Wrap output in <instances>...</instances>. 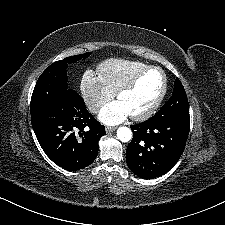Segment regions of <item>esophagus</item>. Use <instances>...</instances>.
Instances as JSON below:
<instances>
[{
  "instance_id": "obj_1",
  "label": "esophagus",
  "mask_w": 225,
  "mask_h": 225,
  "mask_svg": "<svg viewBox=\"0 0 225 225\" xmlns=\"http://www.w3.org/2000/svg\"><path fill=\"white\" fill-rule=\"evenodd\" d=\"M117 129V127H106V132L107 133H110V132H113Z\"/></svg>"
}]
</instances>
